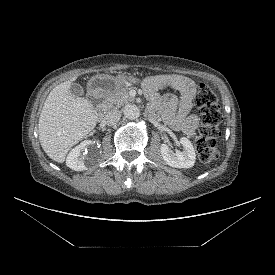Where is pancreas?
<instances>
[{"mask_svg": "<svg viewBox=\"0 0 275 275\" xmlns=\"http://www.w3.org/2000/svg\"><path fill=\"white\" fill-rule=\"evenodd\" d=\"M109 107H120L128 102L134 101L132 97L129 96V88L121 87L113 94H110L105 99Z\"/></svg>", "mask_w": 275, "mask_h": 275, "instance_id": "1", "label": "pancreas"}]
</instances>
